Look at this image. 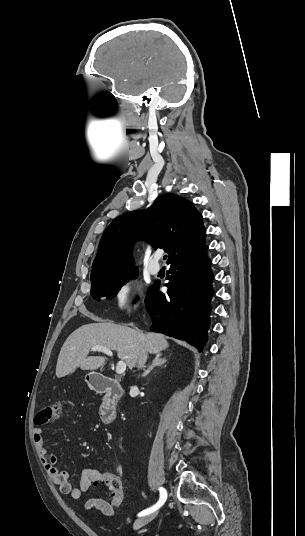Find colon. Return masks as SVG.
I'll list each match as a JSON object with an SVG mask.
<instances>
[{"label": "colon", "instance_id": "1", "mask_svg": "<svg viewBox=\"0 0 305 536\" xmlns=\"http://www.w3.org/2000/svg\"><path fill=\"white\" fill-rule=\"evenodd\" d=\"M65 406L63 401H56L47 405L43 411H36L35 417L32 420L34 426H44L48 422H51L58 413H60ZM95 474H98V471H95ZM96 485L101 486H111L112 488V505L118 507L123 503L124 500V489L123 483L119 480L117 474H102L100 477L95 480Z\"/></svg>", "mask_w": 305, "mask_h": 536}]
</instances>
